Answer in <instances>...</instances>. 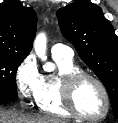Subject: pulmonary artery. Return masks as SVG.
Returning <instances> with one entry per match:
<instances>
[{"label":"pulmonary artery","mask_w":118,"mask_h":123,"mask_svg":"<svg viewBox=\"0 0 118 123\" xmlns=\"http://www.w3.org/2000/svg\"><path fill=\"white\" fill-rule=\"evenodd\" d=\"M52 57L63 58L66 60H72L74 56V51L67 45L57 43L51 48Z\"/></svg>","instance_id":"e3ab8cb5"}]
</instances>
